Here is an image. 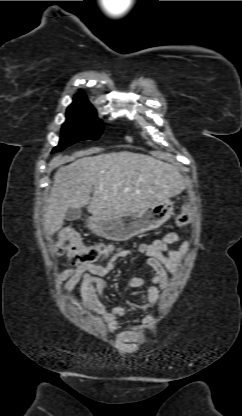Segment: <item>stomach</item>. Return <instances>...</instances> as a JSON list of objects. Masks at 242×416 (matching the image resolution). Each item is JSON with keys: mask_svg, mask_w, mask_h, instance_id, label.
Wrapping results in <instances>:
<instances>
[{"mask_svg": "<svg viewBox=\"0 0 242 416\" xmlns=\"http://www.w3.org/2000/svg\"><path fill=\"white\" fill-rule=\"evenodd\" d=\"M169 199L152 205L139 213L114 216H91L88 228L92 233L112 241H126L136 235L155 230L173 215Z\"/></svg>", "mask_w": 242, "mask_h": 416, "instance_id": "1", "label": "stomach"}]
</instances>
